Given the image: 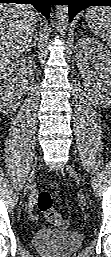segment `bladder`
I'll return each instance as SVG.
<instances>
[{"label": "bladder", "instance_id": "obj_1", "mask_svg": "<svg viewBox=\"0 0 111 257\" xmlns=\"http://www.w3.org/2000/svg\"><path fill=\"white\" fill-rule=\"evenodd\" d=\"M83 243V235L68 230H46L34 234L32 244L45 257H67Z\"/></svg>", "mask_w": 111, "mask_h": 257}]
</instances>
